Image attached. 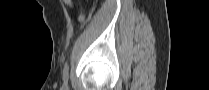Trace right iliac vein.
Wrapping results in <instances>:
<instances>
[{"mask_svg": "<svg viewBox=\"0 0 209 90\" xmlns=\"http://www.w3.org/2000/svg\"><path fill=\"white\" fill-rule=\"evenodd\" d=\"M66 89L65 90H68L67 86L65 85Z\"/></svg>", "mask_w": 209, "mask_h": 90, "instance_id": "1", "label": "right iliac vein"}]
</instances>
